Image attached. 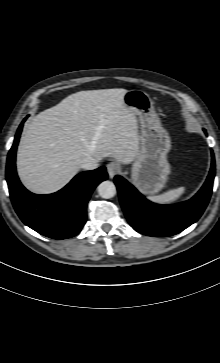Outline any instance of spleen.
I'll list each match as a JSON object with an SVG mask.
<instances>
[{"instance_id":"spleen-1","label":"spleen","mask_w":220,"mask_h":363,"mask_svg":"<svg viewBox=\"0 0 220 363\" xmlns=\"http://www.w3.org/2000/svg\"><path fill=\"white\" fill-rule=\"evenodd\" d=\"M185 191V187L169 190L161 195L152 196L149 199L158 204H169L177 200Z\"/></svg>"}]
</instances>
